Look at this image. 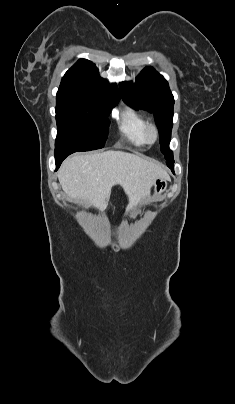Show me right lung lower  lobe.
Wrapping results in <instances>:
<instances>
[{"mask_svg": "<svg viewBox=\"0 0 235 404\" xmlns=\"http://www.w3.org/2000/svg\"><path fill=\"white\" fill-rule=\"evenodd\" d=\"M74 152L69 151V152H60V153H55V162H56V170L59 168L61 165L62 161L70 154Z\"/></svg>", "mask_w": 235, "mask_h": 404, "instance_id": "1", "label": "right lung lower lobe"}]
</instances>
